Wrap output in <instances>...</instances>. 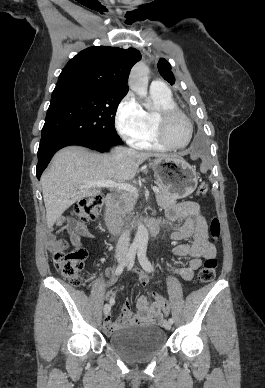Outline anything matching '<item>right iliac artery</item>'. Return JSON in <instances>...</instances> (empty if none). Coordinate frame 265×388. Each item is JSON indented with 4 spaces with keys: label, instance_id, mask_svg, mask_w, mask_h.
<instances>
[{
    "label": "right iliac artery",
    "instance_id": "82829eb1",
    "mask_svg": "<svg viewBox=\"0 0 265 388\" xmlns=\"http://www.w3.org/2000/svg\"><path fill=\"white\" fill-rule=\"evenodd\" d=\"M138 247H139L138 244H132L130 249H129L127 262H129L130 265H133V263H134ZM125 264L126 263H123V264H120L117 266V268L115 270V275L119 276L122 274L124 267H125ZM110 304H113V302L110 301Z\"/></svg>",
    "mask_w": 265,
    "mask_h": 388
}]
</instances>
